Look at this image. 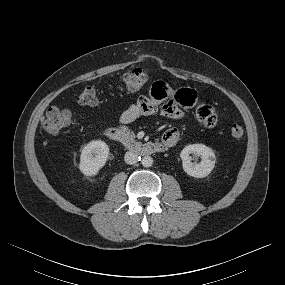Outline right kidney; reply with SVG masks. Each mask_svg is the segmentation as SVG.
<instances>
[{
  "mask_svg": "<svg viewBox=\"0 0 285 285\" xmlns=\"http://www.w3.org/2000/svg\"><path fill=\"white\" fill-rule=\"evenodd\" d=\"M109 155L108 145L101 140L91 141L81 151L79 169L86 176H95L105 165Z\"/></svg>",
  "mask_w": 285,
  "mask_h": 285,
  "instance_id": "ca27d5eb",
  "label": "right kidney"
}]
</instances>
